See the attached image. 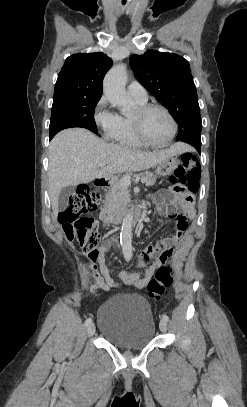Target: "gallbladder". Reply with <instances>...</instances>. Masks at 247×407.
Here are the masks:
<instances>
[{
	"mask_svg": "<svg viewBox=\"0 0 247 407\" xmlns=\"http://www.w3.org/2000/svg\"><path fill=\"white\" fill-rule=\"evenodd\" d=\"M74 191V186H68L61 190L58 197V208L60 211H63L67 208L69 197L74 194Z\"/></svg>",
	"mask_w": 247,
	"mask_h": 407,
	"instance_id": "gallbladder-1",
	"label": "gallbladder"
}]
</instances>
